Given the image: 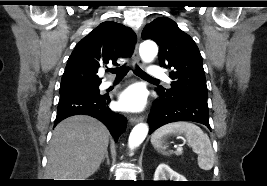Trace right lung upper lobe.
<instances>
[{"instance_id": "cb5924a9", "label": "right lung upper lobe", "mask_w": 267, "mask_h": 186, "mask_svg": "<svg viewBox=\"0 0 267 186\" xmlns=\"http://www.w3.org/2000/svg\"><path fill=\"white\" fill-rule=\"evenodd\" d=\"M136 35L122 24L107 21L85 36L71 53L61 85L99 84L98 69L104 64L118 65V58L130 57Z\"/></svg>"}]
</instances>
